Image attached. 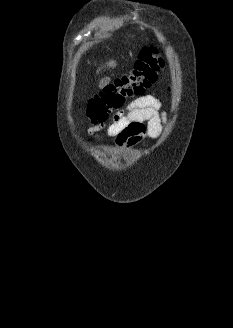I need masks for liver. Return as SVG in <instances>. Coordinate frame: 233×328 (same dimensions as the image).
Instances as JSON below:
<instances>
[{
	"instance_id": "1",
	"label": "liver",
	"mask_w": 233,
	"mask_h": 328,
	"mask_svg": "<svg viewBox=\"0 0 233 328\" xmlns=\"http://www.w3.org/2000/svg\"><path fill=\"white\" fill-rule=\"evenodd\" d=\"M108 66H110V67H115V66H116V63H115L114 61H110V62L108 63Z\"/></svg>"
}]
</instances>
